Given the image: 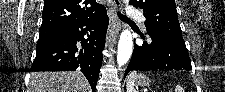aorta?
<instances>
[{
    "mask_svg": "<svg viewBox=\"0 0 225 92\" xmlns=\"http://www.w3.org/2000/svg\"><path fill=\"white\" fill-rule=\"evenodd\" d=\"M133 51V39L128 29L124 30L119 39L118 50H117V63L119 66L125 65Z\"/></svg>",
    "mask_w": 225,
    "mask_h": 92,
    "instance_id": "aorta-1",
    "label": "aorta"
}]
</instances>
